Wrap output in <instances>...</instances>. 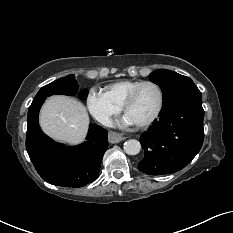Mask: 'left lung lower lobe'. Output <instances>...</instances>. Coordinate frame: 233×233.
<instances>
[{"instance_id":"1","label":"left lung lower lobe","mask_w":233,"mask_h":233,"mask_svg":"<svg viewBox=\"0 0 233 233\" xmlns=\"http://www.w3.org/2000/svg\"><path fill=\"white\" fill-rule=\"evenodd\" d=\"M202 98H189L162 109L160 119L140 137L145 155L138 169L149 175L177 172L200 151L203 139Z\"/></svg>"}]
</instances>
